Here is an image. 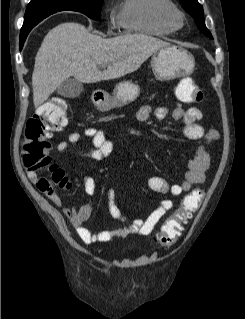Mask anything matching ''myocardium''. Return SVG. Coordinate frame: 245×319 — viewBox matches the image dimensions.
Instances as JSON below:
<instances>
[{"label":"myocardium","mask_w":245,"mask_h":319,"mask_svg":"<svg viewBox=\"0 0 245 319\" xmlns=\"http://www.w3.org/2000/svg\"><path fill=\"white\" fill-rule=\"evenodd\" d=\"M164 16L174 29H179L183 26V14L174 5H171L164 10Z\"/></svg>","instance_id":"myocardium-1"}]
</instances>
